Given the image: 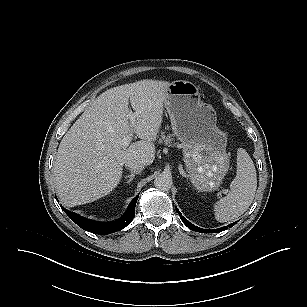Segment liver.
<instances>
[{
    "label": "liver",
    "mask_w": 307,
    "mask_h": 307,
    "mask_svg": "<svg viewBox=\"0 0 307 307\" xmlns=\"http://www.w3.org/2000/svg\"><path fill=\"white\" fill-rule=\"evenodd\" d=\"M170 84L146 79L111 88L76 120L61 140L53 165L63 205L86 204L111 193L127 159L153 163ZM129 101L136 114L134 132L141 140L124 148L122 140L132 131Z\"/></svg>",
    "instance_id": "6515ba94"
}]
</instances>
